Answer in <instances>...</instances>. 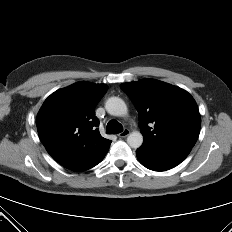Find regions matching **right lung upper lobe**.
Segmentation results:
<instances>
[{"label": "right lung upper lobe", "mask_w": 232, "mask_h": 232, "mask_svg": "<svg viewBox=\"0 0 232 232\" xmlns=\"http://www.w3.org/2000/svg\"><path fill=\"white\" fill-rule=\"evenodd\" d=\"M105 84L78 82L51 94L37 115V130L48 153L62 166L100 159L111 141L97 126L95 107L106 93Z\"/></svg>", "instance_id": "right-lung-upper-lobe-1"}]
</instances>
